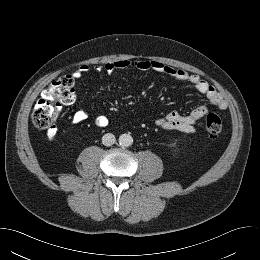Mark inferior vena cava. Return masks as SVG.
Wrapping results in <instances>:
<instances>
[{"instance_id":"602c4592","label":"inferior vena cava","mask_w":260,"mask_h":260,"mask_svg":"<svg viewBox=\"0 0 260 260\" xmlns=\"http://www.w3.org/2000/svg\"><path fill=\"white\" fill-rule=\"evenodd\" d=\"M116 138L112 133H106L102 137V143L105 146H111L115 143Z\"/></svg>"}]
</instances>
